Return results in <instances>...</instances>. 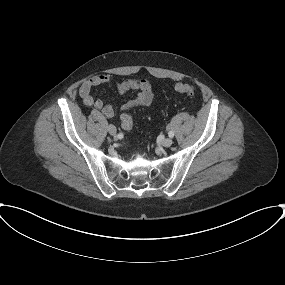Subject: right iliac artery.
Instances as JSON below:
<instances>
[{
    "label": "right iliac artery",
    "mask_w": 285,
    "mask_h": 285,
    "mask_svg": "<svg viewBox=\"0 0 285 285\" xmlns=\"http://www.w3.org/2000/svg\"><path fill=\"white\" fill-rule=\"evenodd\" d=\"M117 137H118L119 139H121V138H123V134H122V133H119V134L117 135Z\"/></svg>",
    "instance_id": "82829eb1"
}]
</instances>
